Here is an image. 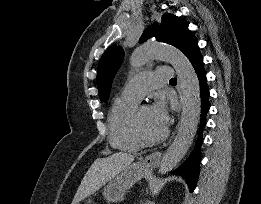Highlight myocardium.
<instances>
[{
	"instance_id": "myocardium-1",
	"label": "myocardium",
	"mask_w": 261,
	"mask_h": 204,
	"mask_svg": "<svg viewBox=\"0 0 261 204\" xmlns=\"http://www.w3.org/2000/svg\"><path fill=\"white\" fill-rule=\"evenodd\" d=\"M144 107H146V106H143L140 109L136 110V112L134 114V118H133L134 130H135L137 137L139 138V140L141 141V143L143 145H146V146L156 145V144L162 142L167 137L168 131L164 130L158 136L148 135L145 132V130L143 129V127L141 125V121H140V111Z\"/></svg>"
}]
</instances>
